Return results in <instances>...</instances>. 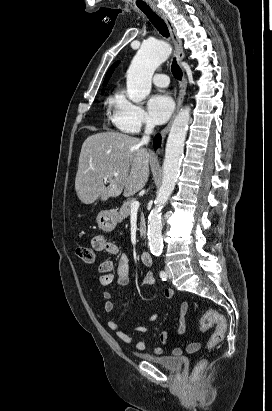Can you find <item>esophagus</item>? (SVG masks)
<instances>
[{
  "label": "esophagus",
  "mask_w": 272,
  "mask_h": 411,
  "mask_svg": "<svg viewBox=\"0 0 272 411\" xmlns=\"http://www.w3.org/2000/svg\"><path fill=\"white\" fill-rule=\"evenodd\" d=\"M153 10L163 19V21L166 23L169 33L171 35L173 44H174V48H175V54L177 57V61L179 63L182 62V60L184 59V51H183V47H182V41L179 38L176 29L174 27V25L172 24V22L170 21V19L168 18V16L159 8H157L156 6H152ZM186 87H187V79L186 77H184L183 81L181 82L180 85V90H179V95H178V99H177V105H176V109L175 112L170 120V122L167 124V126L161 131V136L162 139H164L166 137V135L168 134L171 124L173 122L174 117L176 116L177 112L179 111V109L182 106L183 100H184V96L186 94Z\"/></svg>",
  "instance_id": "1"
}]
</instances>
